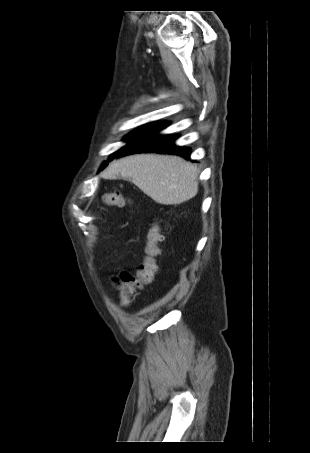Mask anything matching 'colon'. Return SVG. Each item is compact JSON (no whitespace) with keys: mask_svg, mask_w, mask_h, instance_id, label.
<instances>
[{"mask_svg":"<svg viewBox=\"0 0 310 453\" xmlns=\"http://www.w3.org/2000/svg\"><path fill=\"white\" fill-rule=\"evenodd\" d=\"M103 202L108 206L124 207L130 203V199L124 197L121 193H108L103 196ZM162 241V234L157 225L152 226L148 233L147 245L145 248V257L136 270V272H123L118 287L121 294L122 305L127 306L130 303V297L135 290L149 284L154 279L157 271V257L160 254L159 244Z\"/></svg>","mask_w":310,"mask_h":453,"instance_id":"obj_1","label":"colon"}]
</instances>
